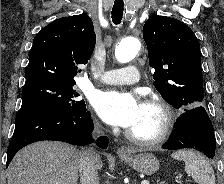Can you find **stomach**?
I'll list each match as a JSON object with an SVG mask.
<instances>
[{
  "instance_id": "0dacf381",
  "label": "stomach",
  "mask_w": 224,
  "mask_h": 184,
  "mask_svg": "<svg viewBox=\"0 0 224 184\" xmlns=\"http://www.w3.org/2000/svg\"><path fill=\"white\" fill-rule=\"evenodd\" d=\"M120 159L141 174L152 175L159 169V162L151 153L132 154Z\"/></svg>"
}]
</instances>
